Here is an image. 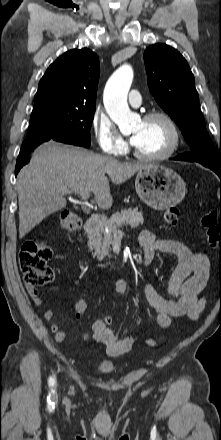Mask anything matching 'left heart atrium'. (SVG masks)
Wrapping results in <instances>:
<instances>
[{
	"label": "left heart atrium",
	"instance_id": "39dd6f15",
	"mask_svg": "<svg viewBox=\"0 0 221 440\" xmlns=\"http://www.w3.org/2000/svg\"><path fill=\"white\" fill-rule=\"evenodd\" d=\"M138 139H139V135H138V134H135V135L132 136V138H131V142H132L134 145H136L137 142H138Z\"/></svg>",
	"mask_w": 221,
	"mask_h": 440
}]
</instances>
